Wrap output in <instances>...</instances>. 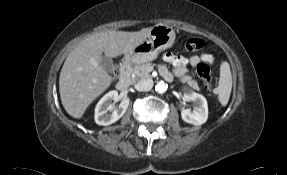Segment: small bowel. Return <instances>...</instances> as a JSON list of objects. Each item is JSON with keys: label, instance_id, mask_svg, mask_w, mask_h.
<instances>
[{"label": "small bowel", "instance_id": "obj_1", "mask_svg": "<svg viewBox=\"0 0 287 175\" xmlns=\"http://www.w3.org/2000/svg\"><path fill=\"white\" fill-rule=\"evenodd\" d=\"M163 59L166 62L172 64L173 73L179 77L183 76L186 73V66L188 64H191L192 66H197V64H199L201 61L208 62L211 64L214 62L213 56L207 53L200 56H192L190 59H187L180 55H175L173 53H166L164 54ZM159 71L166 80L172 79L171 72L165 66H161L159 68Z\"/></svg>", "mask_w": 287, "mask_h": 175}]
</instances>
